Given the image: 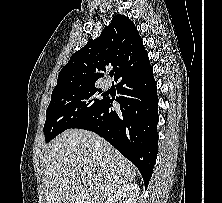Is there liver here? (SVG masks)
<instances>
[{
    "instance_id": "liver-1",
    "label": "liver",
    "mask_w": 222,
    "mask_h": 203,
    "mask_svg": "<svg viewBox=\"0 0 222 203\" xmlns=\"http://www.w3.org/2000/svg\"><path fill=\"white\" fill-rule=\"evenodd\" d=\"M42 166L46 203H103L136 176L133 164L112 145L81 129L54 138Z\"/></svg>"
}]
</instances>
